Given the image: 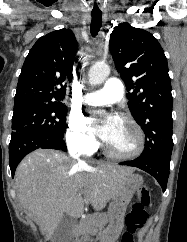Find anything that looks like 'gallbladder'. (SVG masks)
Here are the masks:
<instances>
[{
    "mask_svg": "<svg viewBox=\"0 0 187 242\" xmlns=\"http://www.w3.org/2000/svg\"><path fill=\"white\" fill-rule=\"evenodd\" d=\"M75 219L69 215H64L56 228L51 242H73L72 228Z\"/></svg>",
    "mask_w": 187,
    "mask_h": 242,
    "instance_id": "obj_1",
    "label": "gallbladder"
}]
</instances>
